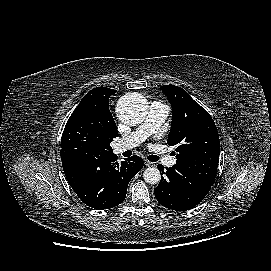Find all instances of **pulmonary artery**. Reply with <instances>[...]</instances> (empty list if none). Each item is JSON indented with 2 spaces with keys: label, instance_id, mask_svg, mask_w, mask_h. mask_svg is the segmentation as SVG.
Returning <instances> with one entry per match:
<instances>
[{
  "label": "pulmonary artery",
  "instance_id": "1",
  "mask_svg": "<svg viewBox=\"0 0 271 271\" xmlns=\"http://www.w3.org/2000/svg\"><path fill=\"white\" fill-rule=\"evenodd\" d=\"M169 112L170 107L167 104L162 102H153L144 123L135 129L129 136L115 145V153L120 154L126 150L138 146L145 141L151 134L155 133L160 128L162 123L167 118ZM175 162V158H167L165 160V164L168 166L174 165Z\"/></svg>",
  "mask_w": 271,
  "mask_h": 271
}]
</instances>
